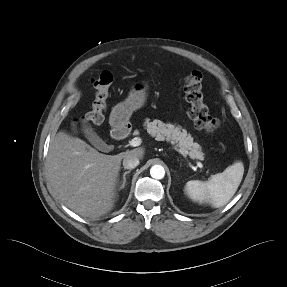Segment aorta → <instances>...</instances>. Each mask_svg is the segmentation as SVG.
Listing matches in <instances>:
<instances>
[{
	"mask_svg": "<svg viewBox=\"0 0 287 287\" xmlns=\"http://www.w3.org/2000/svg\"><path fill=\"white\" fill-rule=\"evenodd\" d=\"M150 175L154 179H162L165 176V169L161 165H153L150 169Z\"/></svg>",
	"mask_w": 287,
	"mask_h": 287,
	"instance_id": "762f6f07",
	"label": "aorta"
}]
</instances>
